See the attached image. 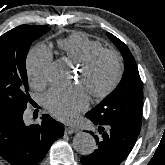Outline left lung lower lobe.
<instances>
[{"label":"left lung lower lobe","mask_w":165,"mask_h":165,"mask_svg":"<svg viewBox=\"0 0 165 165\" xmlns=\"http://www.w3.org/2000/svg\"><path fill=\"white\" fill-rule=\"evenodd\" d=\"M86 117L98 127V136H94L97 149L92 154L82 157L81 163L83 165H119L131 152L140 130Z\"/></svg>","instance_id":"0a47b994"}]
</instances>
